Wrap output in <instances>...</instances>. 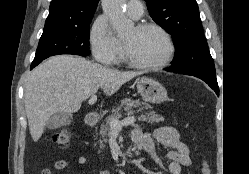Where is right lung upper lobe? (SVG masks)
<instances>
[{
	"label": "right lung upper lobe",
	"mask_w": 249,
	"mask_h": 174,
	"mask_svg": "<svg viewBox=\"0 0 249 174\" xmlns=\"http://www.w3.org/2000/svg\"><path fill=\"white\" fill-rule=\"evenodd\" d=\"M99 0H52L44 30L78 25L93 18Z\"/></svg>",
	"instance_id": "cb5924a9"
}]
</instances>
